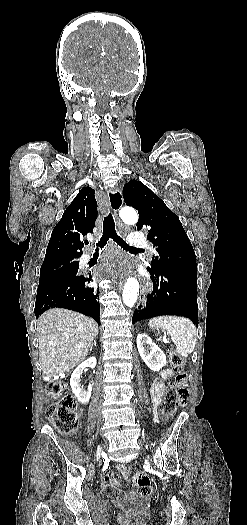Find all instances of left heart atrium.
Masks as SVG:
<instances>
[{"instance_id":"left-heart-atrium-1","label":"left heart atrium","mask_w":247,"mask_h":525,"mask_svg":"<svg viewBox=\"0 0 247 525\" xmlns=\"http://www.w3.org/2000/svg\"><path fill=\"white\" fill-rule=\"evenodd\" d=\"M100 261L104 263L103 272H93L98 281L106 280L110 277H115L129 268V254L113 249H109L103 253Z\"/></svg>"}]
</instances>
